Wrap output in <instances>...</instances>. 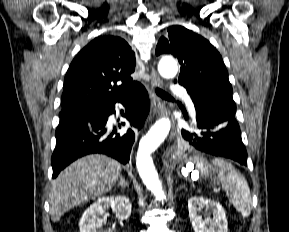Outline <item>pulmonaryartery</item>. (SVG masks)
Wrapping results in <instances>:
<instances>
[{"label": "pulmonary artery", "mask_w": 289, "mask_h": 232, "mask_svg": "<svg viewBox=\"0 0 289 232\" xmlns=\"http://www.w3.org/2000/svg\"><path fill=\"white\" fill-rule=\"evenodd\" d=\"M171 91L175 94L182 95L183 98L185 99V102L188 105L191 113L192 114L195 113L194 104H193L192 100L190 99V97L187 95L186 90L182 86H180L178 84H174L171 86Z\"/></svg>", "instance_id": "e3ab8cb5"}]
</instances>
